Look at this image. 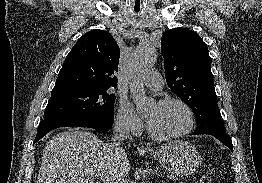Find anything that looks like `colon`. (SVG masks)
<instances>
[{
	"label": "colon",
	"instance_id": "5ec220e1",
	"mask_svg": "<svg viewBox=\"0 0 262 183\" xmlns=\"http://www.w3.org/2000/svg\"><path fill=\"white\" fill-rule=\"evenodd\" d=\"M199 183H213V182H212V178L209 175H203L200 178Z\"/></svg>",
	"mask_w": 262,
	"mask_h": 183
}]
</instances>
